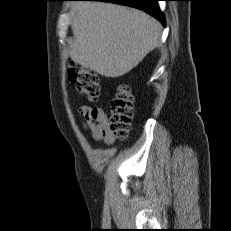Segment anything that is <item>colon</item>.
I'll return each instance as SVG.
<instances>
[{"label": "colon", "instance_id": "colon-1", "mask_svg": "<svg viewBox=\"0 0 231 231\" xmlns=\"http://www.w3.org/2000/svg\"><path fill=\"white\" fill-rule=\"evenodd\" d=\"M69 80L78 91L90 100H96L100 93L99 79L95 72L72 67ZM134 114L133 97L127 86H121L112 101L111 130L119 138L127 135Z\"/></svg>", "mask_w": 231, "mask_h": 231}]
</instances>
